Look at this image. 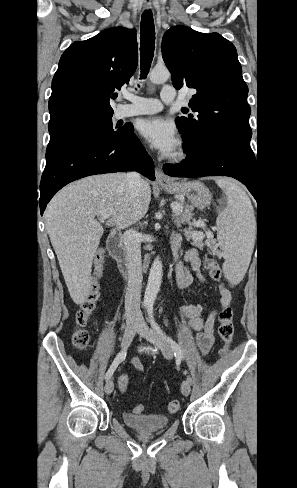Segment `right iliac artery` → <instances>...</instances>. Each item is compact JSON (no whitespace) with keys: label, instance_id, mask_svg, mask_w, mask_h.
I'll return each instance as SVG.
<instances>
[{"label":"right iliac artery","instance_id":"obj_1","mask_svg":"<svg viewBox=\"0 0 297 488\" xmlns=\"http://www.w3.org/2000/svg\"><path fill=\"white\" fill-rule=\"evenodd\" d=\"M126 349L122 350L120 353L117 354L114 361L112 362L110 368L108 369L105 379L109 380L113 375L114 371L118 367V365L126 358Z\"/></svg>","mask_w":297,"mask_h":488}]
</instances>
